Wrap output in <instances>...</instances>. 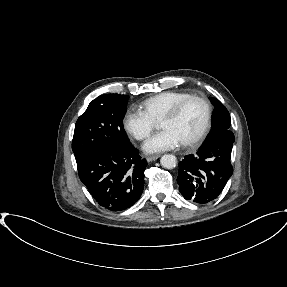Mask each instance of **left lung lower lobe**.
<instances>
[{
  "mask_svg": "<svg viewBox=\"0 0 287 287\" xmlns=\"http://www.w3.org/2000/svg\"><path fill=\"white\" fill-rule=\"evenodd\" d=\"M234 141L228 130L179 162L177 182L185 199L206 204L218 197L233 173L230 156Z\"/></svg>",
  "mask_w": 287,
  "mask_h": 287,
  "instance_id": "0a47b994",
  "label": "left lung lower lobe"
}]
</instances>
